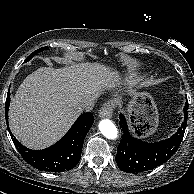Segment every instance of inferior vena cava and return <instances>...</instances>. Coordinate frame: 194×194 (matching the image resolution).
I'll return each mask as SVG.
<instances>
[{"mask_svg": "<svg viewBox=\"0 0 194 194\" xmlns=\"http://www.w3.org/2000/svg\"><path fill=\"white\" fill-rule=\"evenodd\" d=\"M94 106V98H87L80 102L79 109L80 111L89 112L93 109Z\"/></svg>", "mask_w": 194, "mask_h": 194, "instance_id": "1", "label": "inferior vena cava"}]
</instances>
